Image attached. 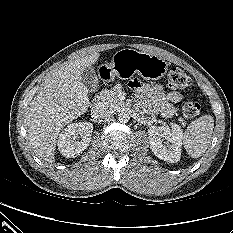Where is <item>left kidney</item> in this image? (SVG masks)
<instances>
[{
    "instance_id": "1",
    "label": "left kidney",
    "mask_w": 233,
    "mask_h": 233,
    "mask_svg": "<svg viewBox=\"0 0 233 233\" xmlns=\"http://www.w3.org/2000/svg\"><path fill=\"white\" fill-rule=\"evenodd\" d=\"M150 149L156 157L169 163L180 160L183 133L180 126H151L148 129Z\"/></svg>"
}]
</instances>
